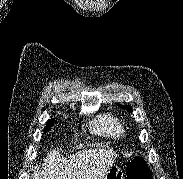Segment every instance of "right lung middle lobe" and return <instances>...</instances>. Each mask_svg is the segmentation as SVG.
Returning a JSON list of instances; mask_svg holds the SVG:
<instances>
[{"label": "right lung middle lobe", "mask_w": 183, "mask_h": 179, "mask_svg": "<svg viewBox=\"0 0 183 179\" xmlns=\"http://www.w3.org/2000/svg\"><path fill=\"white\" fill-rule=\"evenodd\" d=\"M54 119H50L49 121H47L44 132L49 131L51 129V127L54 125Z\"/></svg>", "instance_id": "right-lung-middle-lobe-1"}]
</instances>
